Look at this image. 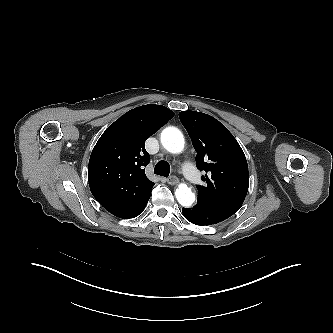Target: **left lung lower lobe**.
I'll return each instance as SVG.
<instances>
[{
    "label": "left lung lower lobe",
    "instance_id": "0a47b994",
    "mask_svg": "<svg viewBox=\"0 0 333 333\" xmlns=\"http://www.w3.org/2000/svg\"><path fill=\"white\" fill-rule=\"evenodd\" d=\"M182 213L189 222L202 226L216 224L232 216L226 211L199 199L193 208H182Z\"/></svg>",
    "mask_w": 333,
    "mask_h": 333
}]
</instances>
